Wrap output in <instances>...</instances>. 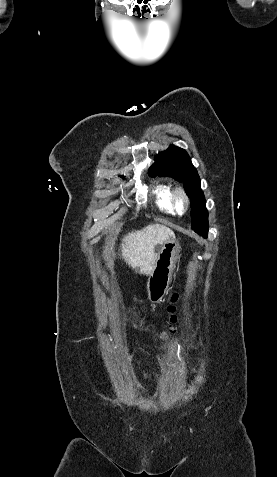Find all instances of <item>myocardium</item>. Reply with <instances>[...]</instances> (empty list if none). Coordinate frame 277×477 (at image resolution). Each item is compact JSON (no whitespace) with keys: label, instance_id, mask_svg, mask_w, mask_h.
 <instances>
[{"label":"myocardium","instance_id":"f54148a6","mask_svg":"<svg viewBox=\"0 0 277 477\" xmlns=\"http://www.w3.org/2000/svg\"><path fill=\"white\" fill-rule=\"evenodd\" d=\"M171 204L174 211L179 215H182L188 211L190 206V198L183 188L177 187L171 191Z\"/></svg>","mask_w":277,"mask_h":477}]
</instances>
